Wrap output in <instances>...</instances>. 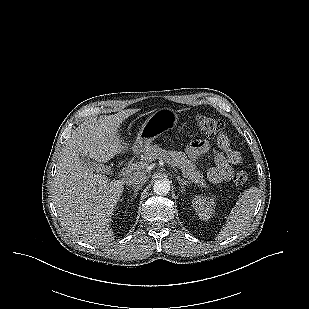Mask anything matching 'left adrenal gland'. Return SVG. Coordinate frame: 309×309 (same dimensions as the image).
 Here are the masks:
<instances>
[{"label": "left adrenal gland", "mask_w": 309, "mask_h": 309, "mask_svg": "<svg viewBox=\"0 0 309 309\" xmlns=\"http://www.w3.org/2000/svg\"><path fill=\"white\" fill-rule=\"evenodd\" d=\"M177 180H178L179 184L181 185V192H184L185 191V189H184L185 186H188V184H187L188 181L180 178V176L177 177Z\"/></svg>", "instance_id": "left-adrenal-gland-1"}]
</instances>
